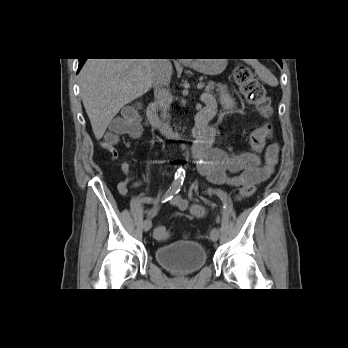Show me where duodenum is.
<instances>
[{"label":"duodenum","mask_w":348,"mask_h":348,"mask_svg":"<svg viewBox=\"0 0 348 348\" xmlns=\"http://www.w3.org/2000/svg\"><path fill=\"white\" fill-rule=\"evenodd\" d=\"M214 107H203L196 115V124L191 134L196 141V150H205L211 140L209 122L214 116ZM147 118L152 127L157 129L165 137H173L182 134L174 130L170 125L163 123L158 117V107L155 103L149 104Z\"/></svg>","instance_id":"1"}]
</instances>
